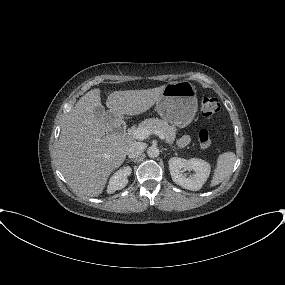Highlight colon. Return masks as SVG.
I'll use <instances>...</instances> for the list:
<instances>
[{"instance_id":"5ec220e1","label":"colon","mask_w":285,"mask_h":285,"mask_svg":"<svg viewBox=\"0 0 285 285\" xmlns=\"http://www.w3.org/2000/svg\"><path fill=\"white\" fill-rule=\"evenodd\" d=\"M201 114L206 118L215 116L220 111L219 100L212 96H204L200 100ZM200 148L207 149L211 145V139L206 130H201L198 137Z\"/></svg>"}]
</instances>
